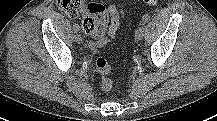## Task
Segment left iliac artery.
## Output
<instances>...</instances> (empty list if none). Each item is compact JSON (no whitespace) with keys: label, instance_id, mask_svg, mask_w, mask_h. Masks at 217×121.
I'll return each instance as SVG.
<instances>
[{"label":"left iliac artery","instance_id":"1","mask_svg":"<svg viewBox=\"0 0 217 121\" xmlns=\"http://www.w3.org/2000/svg\"><path fill=\"white\" fill-rule=\"evenodd\" d=\"M150 21V16L149 15H144L142 18L141 24L144 25Z\"/></svg>","mask_w":217,"mask_h":121}]
</instances>
